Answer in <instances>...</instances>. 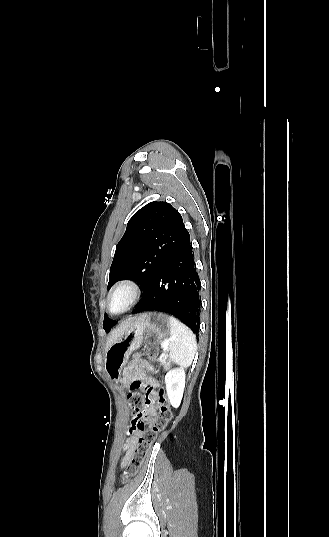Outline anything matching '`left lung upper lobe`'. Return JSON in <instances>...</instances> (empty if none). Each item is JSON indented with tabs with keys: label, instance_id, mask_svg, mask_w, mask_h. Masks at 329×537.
Returning a JSON list of instances; mask_svg holds the SVG:
<instances>
[{
	"label": "left lung upper lobe",
	"instance_id": "left-lung-upper-lobe-1",
	"mask_svg": "<svg viewBox=\"0 0 329 537\" xmlns=\"http://www.w3.org/2000/svg\"><path fill=\"white\" fill-rule=\"evenodd\" d=\"M180 213L166 202H151L136 212L116 246L108 289L117 281L138 282L143 296L165 260L189 237ZM116 322L104 317L109 331Z\"/></svg>",
	"mask_w": 329,
	"mask_h": 537
}]
</instances>
